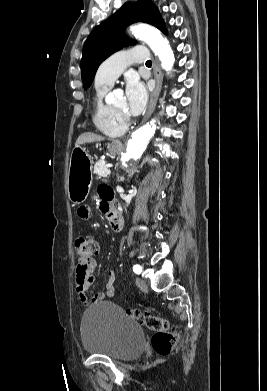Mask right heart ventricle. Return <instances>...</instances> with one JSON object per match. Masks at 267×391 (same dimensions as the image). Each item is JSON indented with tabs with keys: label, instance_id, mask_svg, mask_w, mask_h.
Returning <instances> with one entry per match:
<instances>
[{
	"label": "right heart ventricle",
	"instance_id": "1",
	"mask_svg": "<svg viewBox=\"0 0 267 391\" xmlns=\"http://www.w3.org/2000/svg\"><path fill=\"white\" fill-rule=\"evenodd\" d=\"M109 87H97L93 99L92 119L96 128L109 137L121 136L126 126L121 124L113 115L110 106L104 102V96Z\"/></svg>",
	"mask_w": 267,
	"mask_h": 391
}]
</instances>
